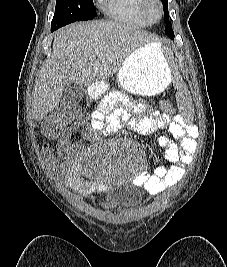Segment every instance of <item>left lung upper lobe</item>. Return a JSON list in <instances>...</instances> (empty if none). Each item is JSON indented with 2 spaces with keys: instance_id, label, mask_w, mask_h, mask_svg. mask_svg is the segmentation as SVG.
I'll return each instance as SVG.
<instances>
[{
  "instance_id": "5c2ea615",
  "label": "left lung upper lobe",
  "mask_w": 227,
  "mask_h": 267,
  "mask_svg": "<svg viewBox=\"0 0 227 267\" xmlns=\"http://www.w3.org/2000/svg\"><path fill=\"white\" fill-rule=\"evenodd\" d=\"M162 4L164 6V16H165V21L168 26H172L171 22H169V13H168V0H161Z\"/></svg>"
}]
</instances>
